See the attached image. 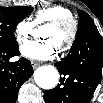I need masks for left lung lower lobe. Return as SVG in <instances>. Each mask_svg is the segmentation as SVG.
<instances>
[{
	"label": "left lung lower lobe",
	"instance_id": "obj_1",
	"mask_svg": "<svg viewBox=\"0 0 103 103\" xmlns=\"http://www.w3.org/2000/svg\"><path fill=\"white\" fill-rule=\"evenodd\" d=\"M60 84L44 92L46 103H89L101 81L103 40L98 30L75 39L69 54L56 63Z\"/></svg>",
	"mask_w": 103,
	"mask_h": 103
}]
</instances>
